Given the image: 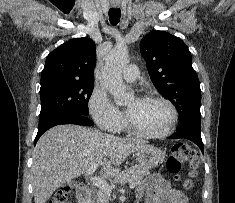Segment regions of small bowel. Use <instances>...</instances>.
<instances>
[{"instance_id":"c3829d8e","label":"small bowel","mask_w":235,"mask_h":203,"mask_svg":"<svg viewBox=\"0 0 235 203\" xmlns=\"http://www.w3.org/2000/svg\"><path fill=\"white\" fill-rule=\"evenodd\" d=\"M146 195L145 203H188L186 195L172 188L169 181L159 174L147 177L138 188L137 195Z\"/></svg>"}]
</instances>
